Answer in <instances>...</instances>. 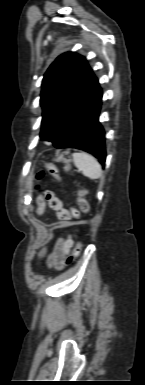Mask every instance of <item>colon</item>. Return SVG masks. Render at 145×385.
Instances as JSON below:
<instances>
[{"label": "colon", "mask_w": 145, "mask_h": 385, "mask_svg": "<svg viewBox=\"0 0 145 385\" xmlns=\"http://www.w3.org/2000/svg\"><path fill=\"white\" fill-rule=\"evenodd\" d=\"M57 161L63 164L64 169L66 171L70 170V155L68 153H66V152L60 153L57 157ZM45 171L47 173H49L51 176H53L58 182L61 181V175L59 173V170L53 164H50V163L46 164L45 165ZM43 174H44L43 171L40 172L38 174V179H41ZM86 193L87 192L85 189H81L78 192L76 202H77L79 209L71 208V212L74 216H79L80 213H83L85 215L89 213V204H88V201L86 199ZM82 247H83L82 242H78L76 244V246L73 250V255L69 258V262L73 261V259L80 254Z\"/></svg>", "instance_id": "5ec220e1"}]
</instances>
